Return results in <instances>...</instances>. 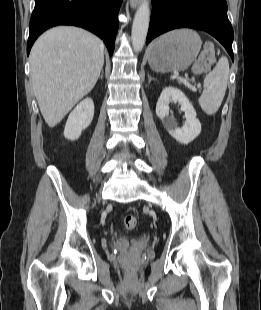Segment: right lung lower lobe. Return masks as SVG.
I'll return each instance as SVG.
<instances>
[{
    "label": "right lung lower lobe",
    "instance_id": "1",
    "mask_svg": "<svg viewBox=\"0 0 261 310\" xmlns=\"http://www.w3.org/2000/svg\"><path fill=\"white\" fill-rule=\"evenodd\" d=\"M121 2L122 0H35L27 55L37 37L56 25H75L93 32L104 40L112 55Z\"/></svg>",
    "mask_w": 261,
    "mask_h": 310
}]
</instances>
